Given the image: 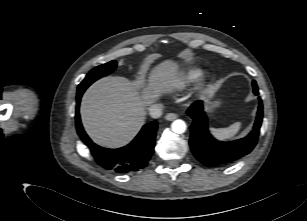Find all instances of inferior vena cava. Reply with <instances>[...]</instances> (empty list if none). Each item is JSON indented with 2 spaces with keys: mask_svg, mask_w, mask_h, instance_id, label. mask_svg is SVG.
<instances>
[{
  "mask_svg": "<svg viewBox=\"0 0 307 221\" xmlns=\"http://www.w3.org/2000/svg\"><path fill=\"white\" fill-rule=\"evenodd\" d=\"M162 109L163 105L162 104H153L151 105L148 110L149 114L152 118H159L162 115Z\"/></svg>",
  "mask_w": 307,
  "mask_h": 221,
  "instance_id": "inferior-vena-cava-1",
  "label": "inferior vena cava"
}]
</instances>
